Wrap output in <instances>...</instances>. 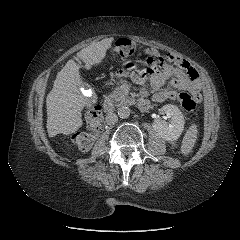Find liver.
<instances>
[{
    "label": "liver",
    "instance_id": "obj_1",
    "mask_svg": "<svg viewBox=\"0 0 240 240\" xmlns=\"http://www.w3.org/2000/svg\"><path fill=\"white\" fill-rule=\"evenodd\" d=\"M113 40L111 37L93 43L80 50L76 56L85 63L86 69L90 70L104 59ZM82 85L79 65L71 59L58 72L53 88L46 98L49 137L61 133L72 134L82 126L81 111L86 104V99L80 92Z\"/></svg>",
    "mask_w": 240,
    "mask_h": 240
}]
</instances>
